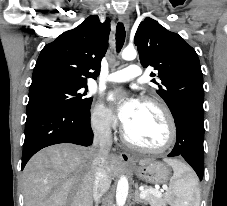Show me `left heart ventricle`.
I'll return each mask as SVG.
<instances>
[{
  "label": "left heart ventricle",
  "instance_id": "b2bd125f",
  "mask_svg": "<svg viewBox=\"0 0 227 206\" xmlns=\"http://www.w3.org/2000/svg\"><path fill=\"white\" fill-rule=\"evenodd\" d=\"M133 141L146 147H159L165 143L168 135L166 120L154 105L140 104L139 112L126 130Z\"/></svg>",
  "mask_w": 227,
  "mask_h": 206
}]
</instances>
